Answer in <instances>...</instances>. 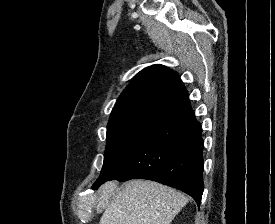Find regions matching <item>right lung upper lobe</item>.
<instances>
[{
    "instance_id": "cb5924a9",
    "label": "right lung upper lobe",
    "mask_w": 275,
    "mask_h": 224,
    "mask_svg": "<svg viewBox=\"0 0 275 224\" xmlns=\"http://www.w3.org/2000/svg\"><path fill=\"white\" fill-rule=\"evenodd\" d=\"M187 98V90L175 71L163 65H152L140 71L124 89L110 120L144 109L167 111Z\"/></svg>"
}]
</instances>
